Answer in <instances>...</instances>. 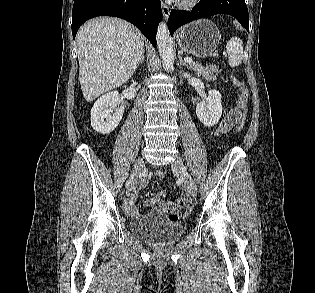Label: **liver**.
Listing matches in <instances>:
<instances>
[{
  "mask_svg": "<svg viewBox=\"0 0 315 293\" xmlns=\"http://www.w3.org/2000/svg\"><path fill=\"white\" fill-rule=\"evenodd\" d=\"M76 41L79 81L88 102L126 83L144 52L142 33L113 17L88 21L79 29Z\"/></svg>",
  "mask_w": 315,
  "mask_h": 293,
  "instance_id": "1",
  "label": "liver"
}]
</instances>
